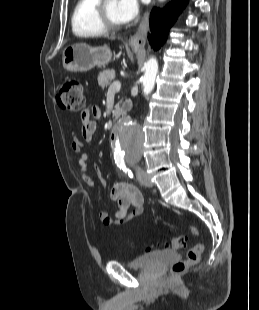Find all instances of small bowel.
I'll use <instances>...</instances> for the list:
<instances>
[{
	"label": "small bowel",
	"instance_id": "small-bowel-1",
	"mask_svg": "<svg viewBox=\"0 0 259 310\" xmlns=\"http://www.w3.org/2000/svg\"><path fill=\"white\" fill-rule=\"evenodd\" d=\"M101 110L98 106L92 105L86 108L81 114V135L82 138L89 142L93 139L96 130L95 119L100 118ZM83 143L77 135L72 136L71 149L79 153L78 166L79 175L87 186L93 187L95 182L89 174L88 162L89 154L81 153ZM110 199L116 201L118 210L114 217L107 212H100L99 219L104 225H112L115 222L123 223L130 221L143 212V195L140 190L133 184L118 180L110 190Z\"/></svg>",
	"mask_w": 259,
	"mask_h": 310
}]
</instances>
